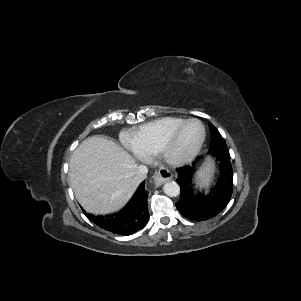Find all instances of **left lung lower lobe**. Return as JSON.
Wrapping results in <instances>:
<instances>
[{
    "label": "left lung lower lobe",
    "mask_w": 301,
    "mask_h": 301,
    "mask_svg": "<svg viewBox=\"0 0 301 301\" xmlns=\"http://www.w3.org/2000/svg\"><path fill=\"white\" fill-rule=\"evenodd\" d=\"M220 148V146H219ZM216 159L218 175L209 191H198L193 183L198 163L177 169L180 199L176 203L179 212L195 221L210 219L229 203L233 191V171L228 149L212 153Z\"/></svg>",
    "instance_id": "1"
}]
</instances>
